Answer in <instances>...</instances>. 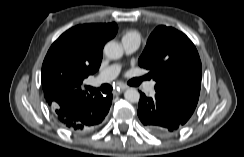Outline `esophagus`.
Listing matches in <instances>:
<instances>
[{
    "label": "esophagus",
    "instance_id": "34e87169",
    "mask_svg": "<svg viewBox=\"0 0 244 157\" xmlns=\"http://www.w3.org/2000/svg\"><path fill=\"white\" fill-rule=\"evenodd\" d=\"M126 86L125 85H120L118 86L114 91H113V95H119L121 94L124 90H126Z\"/></svg>",
    "mask_w": 244,
    "mask_h": 157
}]
</instances>
